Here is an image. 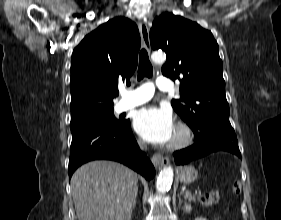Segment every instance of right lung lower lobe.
<instances>
[{"instance_id": "obj_1", "label": "right lung lower lobe", "mask_w": 281, "mask_h": 220, "mask_svg": "<svg viewBox=\"0 0 281 220\" xmlns=\"http://www.w3.org/2000/svg\"><path fill=\"white\" fill-rule=\"evenodd\" d=\"M121 162L150 180L155 169L140 151L130 127V120L118 128L92 127L72 133L68 173L92 160Z\"/></svg>"}]
</instances>
